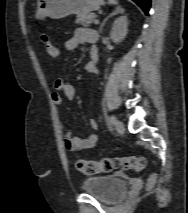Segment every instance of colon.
<instances>
[{
    "mask_svg": "<svg viewBox=\"0 0 188 213\" xmlns=\"http://www.w3.org/2000/svg\"><path fill=\"white\" fill-rule=\"evenodd\" d=\"M41 40L44 44L45 50L52 58H58L59 50L54 46L48 35L41 34ZM145 158L138 156H125V157H104L99 160H78L76 168L86 175H96L99 173H109L116 169H125L140 171L145 166Z\"/></svg>",
    "mask_w": 188,
    "mask_h": 213,
    "instance_id": "colon-1",
    "label": "colon"
}]
</instances>
